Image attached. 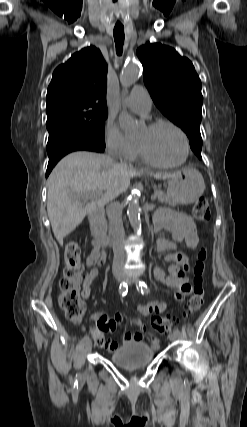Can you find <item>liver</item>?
Here are the masks:
<instances>
[{
	"label": "liver",
	"instance_id": "obj_1",
	"mask_svg": "<svg viewBox=\"0 0 247 427\" xmlns=\"http://www.w3.org/2000/svg\"><path fill=\"white\" fill-rule=\"evenodd\" d=\"M110 156L77 151L65 156L48 178L47 212L58 243L81 224L101 201H109L125 192L130 179L140 176ZM156 179H169L173 174H151ZM104 191L99 200L85 202L87 195Z\"/></svg>",
	"mask_w": 247,
	"mask_h": 427
}]
</instances>
